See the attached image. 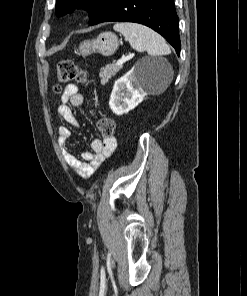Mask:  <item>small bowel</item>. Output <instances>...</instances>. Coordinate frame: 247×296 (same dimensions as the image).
Returning <instances> with one entry per match:
<instances>
[{
  "mask_svg": "<svg viewBox=\"0 0 247 296\" xmlns=\"http://www.w3.org/2000/svg\"><path fill=\"white\" fill-rule=\"evenodd\" d=\"M84 103V95L79 91L77 85L68 84L61 95V103L56 109L59 117L68 124L79 127V122L72 110L82 106ZM71 138V131L66 126L58 129V143L61 147L62 154L70 169L80 178L87 180L101 166L106 158H108L116 148V139L112 137L109 140H93L90 144V151L82 154L81 159L77 158L68 149L67 145Z\"/></svg>",
  "mask_w": 247,
  "mask_h": 296,
  "instance_id": "c3829d8e",
  "label": "small bowel"
}]
</instances>
